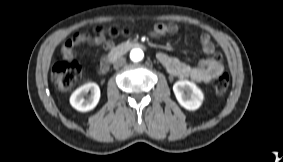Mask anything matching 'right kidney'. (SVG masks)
Instances as JSON below:
<instances>
[{"label": "right kidney", "mask_w": 283, "mask_h": 162, "mask_svg": "<svg viewBox=\"0 0 283 162\" xmlns=\"http://www.w3.org/2000/svg\"><path fill=\"white\" fill-rule=\"evenodd\" d=\"M90 91V94H88ZM86 97V98H85ZM100 99V88L96 83H87L75 90L70 97V104L81 112H87L96 107Z\"/></svg>", "instance_id": "right-kidney-1"}]
</instances>
